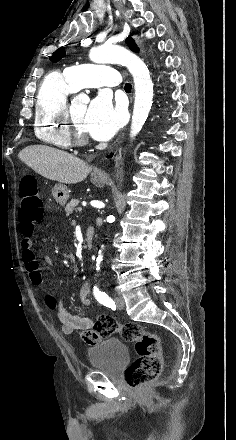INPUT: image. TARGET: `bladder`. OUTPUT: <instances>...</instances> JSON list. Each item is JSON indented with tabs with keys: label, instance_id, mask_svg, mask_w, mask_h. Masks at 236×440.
<instances>
[{
	"label": "bladder",
	"instance_id": "bladder-1",
	"mask_svg": "<svg viewBox=\"0 0 236 440\" xmlns=\"http://www.w3.org/2000/svg\"><path fill=\"white\" fill-rule=\"evenodd\" d=\"M90 367L95 372L117 376L129 360L128 348L116 338H108L88 348Z\"/></svg>",
	"mask_w": 236,
	"mask_h": 440
}]
</instances>
